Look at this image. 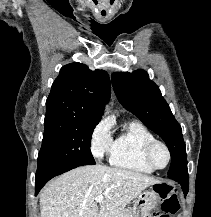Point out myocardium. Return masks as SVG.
I'll return each instance as SVG.
<instances>
[{
    "mask_svg": "<svg viewBox=\"0 0 211 217\" xmlns=\"http://www.w3.org/2000/svg\"><path fill=\"white\" fill-rule=\"evenodd\" d=\"M157 146L163 147L167 153V162L163 167L156 165L154 160H153V151L155 150V148ZM144 159H145L146 163L154 170H163L170 164L171 159H172V154H171L170 148L168 147V145L164 141L154 139V140L150 141L149 143H147V145L145 146Z\"/></svg>",
    "mask_w": 211,
    "mask_h": 217,
    "instance_id": "f54148a6",
    "label": "myocardium"
}]
</instances>
